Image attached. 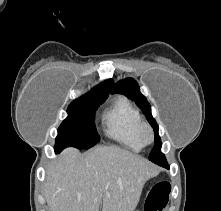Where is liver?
Masks as SVG:
<instances>
[{"instance_id":"1","label":"liver","mask_w":221,"mask_h":211,"mask_svg":"<svg viewBox=\"0 0 221 211\" xmlns=\"http://www.w3.org/2000/svg\"><path fill=\"white\" fill-rule=\"evenodd\" d=\"M159 170L147 159L117 146L85 154L64 150L46 170L49 211H134L145 182Z\"/></svg>"}]
</instances>
